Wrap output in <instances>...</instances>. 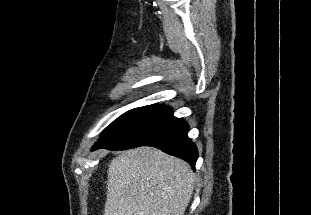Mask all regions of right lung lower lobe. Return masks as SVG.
Wrapping results in <instances>:
<instances>
[{
  "label": "right lung lower lobe",
  "mask_w": 311,
  "mask_h": 215,
  "mask_svg": "<svg viewBox=\"0 0 311 215\" xmlns=\"http://www.w3.org/2000/svg\"><path fill=\"white\" fill-rule=\"evenodd\" d=\"M188 128L187 122L174 117L169 107L160 105L123 138L104 148L126 150L138 146H152L187 161L195 168L198 152L187 135Z\"/></svg>",
  "instance_id": "1"
}]
</instances>
